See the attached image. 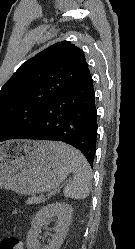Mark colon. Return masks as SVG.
Instances as JSON below:
<instances>
[{"instance_id": "1", "label": "colon", "mask_w": 135, "mask_h": 249, "mask_svg": "<svg viewBox=\"0 0 135 249\" xmlns=\"http://www.w3.org/2000/svg\"><path fill=\"white\" fill-rule=\"evenodd\" d=\"M0 249H22V243L15 235L5 236L0 243Z\"/></svg>"}]
</instances>
